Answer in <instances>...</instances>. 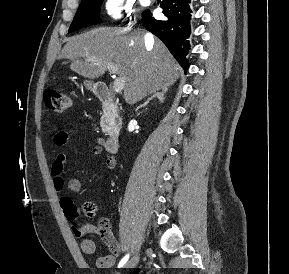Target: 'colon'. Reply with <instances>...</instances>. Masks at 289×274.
<instances>
[{
    "mask_svg": "<svg viewBox=\"0 0 289 274\" xmlns=\"http://www.w3.org/2000/svg\"><path fill=\"white\" fill-rule=\"evenodd\" d=\"M44 102L48 109L55 111V112H62L68 109L71 106V99L70 97L58 90L54 89H47L44 92ZM64 206L66 209L67 214L70 217H75L77 215V211L73 203L69 199L64 200ZM83 211L87 215H92L95 211V206L92 203H85L83 205ZM98 231L103 234L105 237H109L110 224L107 219H103L98 227Z\"/></svg>",
    "mask_w": 289,
    "mask_h": 274,
    "instance_id": "5ec220e1",
    "label": "colon"
}]
</instances>
